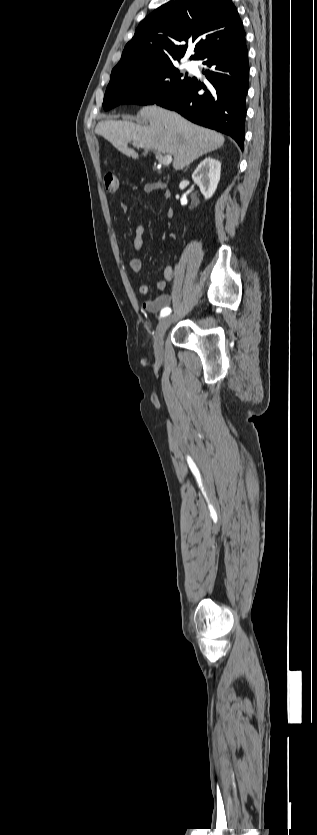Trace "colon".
Segmentation results:
<instances>
[{
	"label": "colon",
	"instance_id": "1",
	"mask_svg": "<svg viewBox=\"0 0 317 835\" xmlns=\"http://www.w3.org/2000/svg\"><path fill=\"white\" fill-rule=\"evenodd\" d=\"M106 190L110 193L117 191L119 187L118 177L114 173H107L104 177Z\"/></svg>",
	"mask_w": 317,
	"mask_h": 835
}]
</instances>
